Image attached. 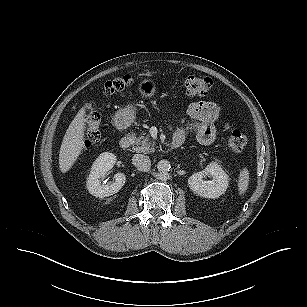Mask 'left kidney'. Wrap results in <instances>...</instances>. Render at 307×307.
<instances>
[{
  "label": "left kidney",
  "instance_id": "5707ae66",
  "mask_svg": "<svg viewBox=\"0 0 307 307\" xmlns=\"http://www.w3.org/2000/svg\"><path fill=\"white\" fill-rule=\"evenodd\" d=\"M206 176H211L212 180L205 181L203 178ZM228 180L229 177L226 172L216 162H212L203 171L190 176L188 184L196 194L215 199L225 193L229 183Z\"/></svg>",
  "mask_w": 307,
  "mask_h": 307
}]
</instances>
